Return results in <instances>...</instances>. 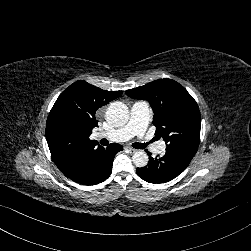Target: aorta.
Returning <instances> with one entry per match:
<instances>
[{"instance_id": "762f6f07", "label": "aorta", "mask_w": 251, "mask_h": 251, "mask_svg": "<svg viewBox=\"0 0 251 251\" xmlns=\"http://www.w3.org/2000/svg\"><path fill=\"white\" fill-rule=\"evenodd\" d=\"M129 110L126 104L114 102L106 110V121L112 127H123L128 123ZM134 165L138 168L145 167L148 164L149 157L144 151H135L132 156Z\"/></svg>"}]
</instances>
